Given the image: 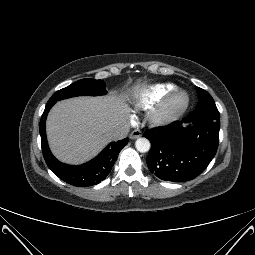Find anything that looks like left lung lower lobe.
<instances>
[{
    "label": "left lung lower lobe",
    "instance_id": "left-lung-lower-lobe-1",
    "mask_svg": "<svg viewBox=\"0 0 255 255\" xmlns=\"http://www.w3.org/2000/svg\"><path fill=\"white\" fill-rule=\"evenodd\" d=\"M187 128L182 122L146 130L152 144L147 165L152 173L165 181L183 182L200 175L216 154L220 119L191 120Z\"/></svg>",
    "mask_w": 255,
    "mask_h": 255
}]
</instances>
